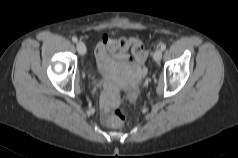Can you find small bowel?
<instances>
[{"label": "small bowel", "mask_w": 238, "mask_h": 158, "mask_svg": "<svg viewBox=\"0 0 238 158\" xmlns=\"http://www.w3.org/2000/svg\"><path fill=\"white\" fill-rule=\"evenodd\" d=\"M115 39L109 35H104L101 41L97 44L95 49L96 64L100 70H108L116 63H120L125 66H132V58L126 54L119 52L114 47ZM102 104L105 109H108L112 104V97L105 95L102 98Z\"/></svg>", "instance_id": "1"}]
</instances>
